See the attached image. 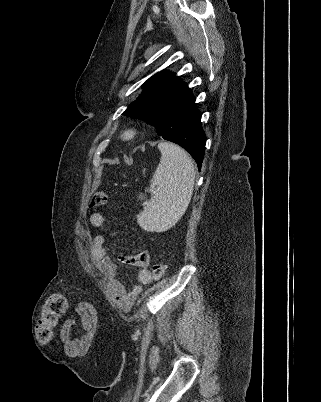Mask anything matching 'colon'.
I'll return each instance as SVG.
<instances>
[{
  "instance_id": "1",
  "label": "colon",
  "mask_w": 321,
  "mask_h": 402,
  "mask_svg": "<svg viewBox=\"0 0 321 402\" xmlns=\"http://www.w3.org/2000/svg\"><path fill=\"white\" fill-rule=\"evenodd\" d=\"M106 201V193L98 192L92 196L90 206L100 207ZM165 271L166 264L162 261L155 262L151 267V274L155 280L161 279ZM68 306V300L63 294L55 293L48 297L36 325V335L40 342L45 343L52 339L56 322L66 313Z\"/></svg>"
}]
</instances>
